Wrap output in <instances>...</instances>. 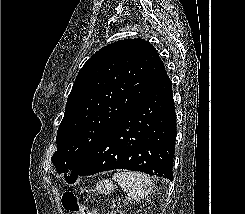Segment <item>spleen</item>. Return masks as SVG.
I'll use <instances>...</instances> for the list:
<instances>
[{
	"label": "spleen",
	"instance_id": "spleen-1",
	"mask_svg": "<svg viewBox=\"0 0 245 214\" xmlns=\"http://www.w3.org/2000/svg\"><path fill=\"white\" fill-rule=\"evenodd\" d=\"M112 179L135 201L144 199L152 189V181L144 173L120 171L115 173Z\"/></svg>",
	"mask_w": 245,
	"mask_h": 214
}]
</instances>
